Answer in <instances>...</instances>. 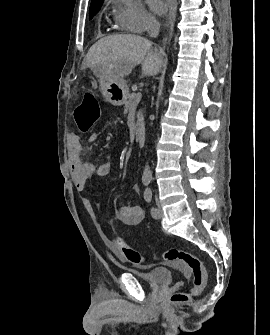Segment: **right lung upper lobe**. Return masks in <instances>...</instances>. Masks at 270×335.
<instances>
[{
	"instance_id": "right-lung-upper-lobe-1",
	"label": "right lung upper lobe",
	"mask_w": 270,
	"mask_h": 335,
	"mask_svg": "<svg viewBox=\"0 0 270 335\" xmlns=\"http://www.w3.org/2000/svg\"><path fill=\"white\" fill-rule=\"evenodd\" d=\"M104 0H92L91 5L103 3Z\"/></svg>"
}]
</instances>
